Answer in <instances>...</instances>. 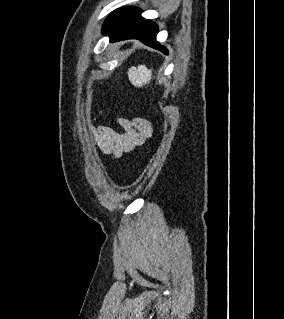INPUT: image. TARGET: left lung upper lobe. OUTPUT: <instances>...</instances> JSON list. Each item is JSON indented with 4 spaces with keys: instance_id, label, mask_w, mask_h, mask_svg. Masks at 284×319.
<instances>
[{
    "instance_id": "left-lung-upper-lobe-1",
    "label": "left lung upper lobe",
    "mask_w": 284,
    "mask_h": 319,
    "mask_svg": "<svg viewBox=\"0 0 284 319\" xmlns=\"http://www.w3.org/2000/svg\"><path fill=\"white\" fill-rule=\"evenodd\" d=\"M118 10H115V12H113L112 14H110L108 16V18L106 19L105 23L103 24V29L107 26V24L112 20V18L114 17V15L116 14Z\"/></svg>"
}]
</instances>
